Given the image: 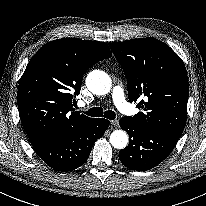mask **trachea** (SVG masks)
<instances>
[{
    "instance_id": "obj_1",
    "label": "trachea",
    "mask_w": 206,
    "mask_h": 206,
    "mask_svg": "<svg viewBox=\"0 0 206 206\" xmlns=\"http://www.w3.org/2000/svg\"><path fill=\"white\" fill-rule=\"evenodd\" d=\"M87 115L92 117H105L107 119L113 120L116 117V114L112 110L103 111L101 107H93L86 112Z\"/></svg>"
}]
</instances>
